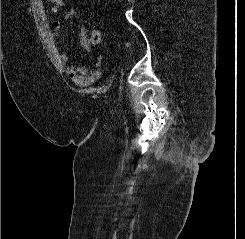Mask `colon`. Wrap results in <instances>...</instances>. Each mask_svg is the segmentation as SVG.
Instances as JSON below:
<instances>
[{
  "instance_id": "obj_1",
  "label": "colon",
  "mask_w": 245,
  "mask_h": 239,
  "mask_svg": "<svg viewBox=\"0 0 245 239\" xmlns=\"http://www.w3.org/2000/svg\"><path fill=\"white\" fill-rule=\"evenodd\" d=\"M50 2H54V0H49Z\"/></svg>"
}]
</instances>
